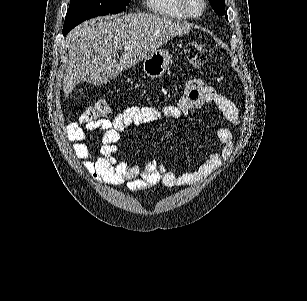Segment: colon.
<instances>
[{
	"mask_svg": "<svg viewBox=\"0 0 307 301\" xmlns=\"http://www.w3.org/2000/svg\"><path fill=\"white\" fill-rule=\"evenodd\" d=\"M189 64L195 68L202 67L210 58V49L204 44L190 43L185 49ZM109 114V107L105 101H99L96 105L87 107L80 116V122L89 125L104 118Z\"/></svg>",
	"mask_w": 307,
	"mask_h": 301,
	"instance_id": "colon-1",
	"label": "colon"
}]
</instances>
